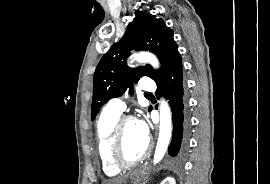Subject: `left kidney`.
Listing matches in <instances>:
<instances>
[{
  "mask_svg": "<svg viewBox=\"0 0 270 184\" xmlns=\"http://www.w3.org/2000/svg\"><path fill=\"white\" fill-rule=\"evenodd\" d=\"M160 184H176V182L173 177H167Z\"/></svg>",
  "mask_w": 270,
  "mask_h": 184,
  "instance_id": "5707ae66",
  "label": "left kidney"
}]
</instances>
